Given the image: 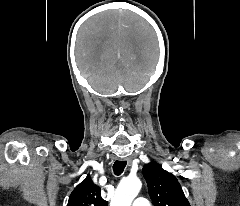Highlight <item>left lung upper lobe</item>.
Here are the masks:
<instances>
[{
	"label": "left lung upper lobe",
	"instance_id": "left-lung-upper-lobe-1",
	"mask_svg": "<svg viewBox=\"0 0 240 206\" xmlns=\"http://www.w3.org/2000/svg\"><path fill=\"white\" fill-rule=\"evenodd\" d=\"M142 172L154 206H190L176 177L161 165L145 164Z\"/></svg>",
	"mask_w": 240,
	"mask_h": 206
}]
</instances>
